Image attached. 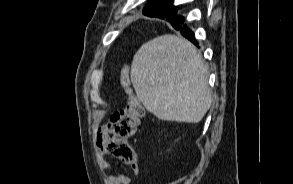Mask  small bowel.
<instances>
[{"mask_svg":"<svg viewBox=\"0 0 293 184\" xmlns=\"http://www.w3.org/2000/svg\"><path fill=\"white\" fill-rule=\"evenodd\" d=\"M107 131V126L102 125L98 128L95 139L97 142V159L99 165L105 170H111L112 166L111 163L105 159L102 155V143L104 141L105 135ZM132 173L137 176L139 173V167L137 163L131 165ZM106 184H130V179L127 175L117 172L106 176Z\"/></svg>","mask_w":293,"mask_h":184,"instance_id":"c3829d8e","label":"small bowel"}]
</instances>
